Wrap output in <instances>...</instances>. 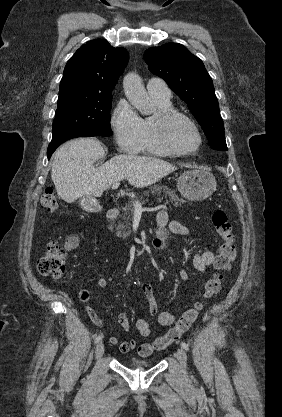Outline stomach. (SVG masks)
<instances>
[{
    "label": "stomach",
    "instance_id": "0dacf381",
    "mask_svg": "<svg viewBox=\"0 0 282 417\" xmlns=\"http://www.w3.org/2000/svg\"><path fill=\"white\" fill-rule=\"evenodd\" d=\"M177 188L188 200H205L216 188V178L210 170L192 168L177 180Z\"/></svg>",
    "mask_w": 282,
    "mask_h": 417
}]
</instances>
